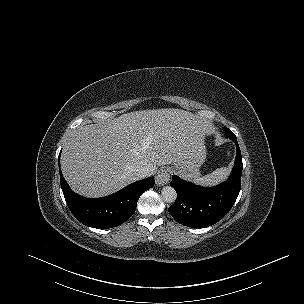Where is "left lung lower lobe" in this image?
<instances>
[{
  "label": "left lung lower lobe",
  "mask_w": 304,
  "mask_h": 304,
  "mask_svg": "<svg viewBox=\"0 0 304 304\" xmlns=\"http://www.w3.org/2000/svg\"><path fill=\"white\" fill-rule=\"evenodd\" d=\"M237 155L229 179L215 187L205 188L172 176L171 186L177 192L170 215L180 224L204 228L220 221L234 205L241 188L242 156L237 139Z\"/></svg>",
  "instance_id": "left-lung-lower-lobe-1"
}]
</instances>
